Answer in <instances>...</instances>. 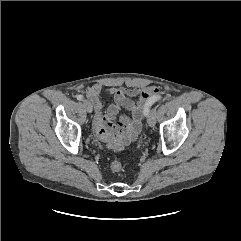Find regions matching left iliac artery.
I'll list each match as a JSON object with an SVG mask.
<instances>
[{
    "instance_id": "44dca946",
    "label": "left iliac artery",
    "mask_w": 241,
    "mask_h": 241,
    "mask_svg": "<svg viewBox=\"0 0 241 241\" xmlns=\"http://www.w3.org/2000/svg\"><path fill=\"white\" fill-rule=\"evenodd\" d=\"M158 99H161V97H158L156 100H158ZM156 100H154V101H156ZM151 106V105H150ZM150 106H147L146 108H145V112H144V114H145V116H148V114H149V112H150Z\"/></svg>"
}]
</instances>
